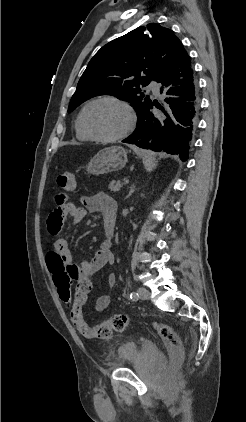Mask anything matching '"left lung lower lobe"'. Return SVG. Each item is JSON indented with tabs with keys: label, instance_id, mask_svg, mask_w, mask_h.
I'll return each mask as SVG.
<instances>
[{
	"label": "left lung lower lobe",
	"instance_id": "1",
	"mask_svg": "<svg viewBox=\"0 0 246 422\" xmlns=\"http://www.w3.org/2000/svg\"><path fill=\"white\" fill-rule=\"evenodd\" d=\"M159 82L163 85L160 93L165 91L170 96L165 99L169 114L157 101H152L138 118L136 130L122 142L177 154L186 161L196 130L199 97L190 57L183 46ZM153 107L166 115L167 119L161 120L162 125L151 111Z\"/></svg>",
	"mask_w": 246,
	"mask_h": 422
}]
</instances>
